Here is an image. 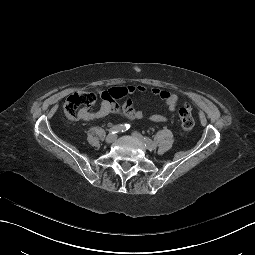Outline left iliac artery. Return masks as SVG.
Instances as JSON below:
<instances>
[{
	"instance_id": "left-iliac-artery-1",
	"label": "left iliac artery",
	"mask_w": 255,
	"mask_h": 255,
	"mask_svg": "<svg viewBox=\"0 0 255 255\" xmlns=\"http://www.w3.org/2000/svg\"><path fill=\"white\" fill-rule=\"evenodd\" d=\"M145 139V145H147V146H153V145H155V143L151 140V139H149V138H144Z\"/></svg>"
}]
</instances>
